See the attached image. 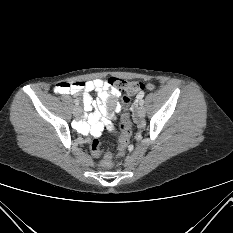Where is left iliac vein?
Masks as SVG:
<instances>
[{
  "mask_svg": "<svg viewBox=\"0 0 233 233\" xmlns=\"http://www.w3.org/2000/svg\"><path fill=\"white\" fill-rule=\"evenodd\" d=\"M137 115L138 117L140 118H143L145 116V108L140 105L138 108H137Z\"/></svg>",
  "mask_w": 233,
  "mask_h": 233,
  "instance_id": "left-iliac-vein-1",
  "label": "left iliac vein"
}]
</instances>
